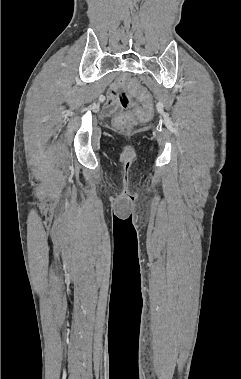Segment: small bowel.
<instances>
[{
	"mask_svg": "<svg viewBox=\"0 0 241 379\" xmlns=\"http://www.w3.org/2000/svg\"><path fill=\"white\" fill-rule=\"evenodd\" d=\"M117 92L115 90V88L112 89V91L109 93L108 95V98H107V102H106V108L107 109H112L114 108L115 104H116V100H117Z\"/></svg>",
	"mask_w": 241,
	"mask_h": 379,
	"instance_id": "1",
	"label": "small bowel"
}]
</instances>
